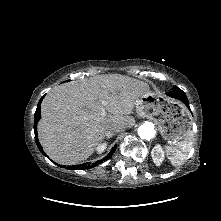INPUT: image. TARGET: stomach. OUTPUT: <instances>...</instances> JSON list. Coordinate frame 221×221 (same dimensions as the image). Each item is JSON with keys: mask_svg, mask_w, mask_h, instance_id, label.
Instances as JSON below:
<instances>
[{"mask_svg": "<svg viewBox=\"0 0 221 221\" xmlns=\"http://www.w3.org/2000/svg\"><path fill=\"white\" fill-rule=\"evenodd\" d=\"M136 111L139 116L154 120L168 141L184 139L192 126L190 113L182 104L151 90L137 99Z\"/></svg>", "mask_w": 221, "mask_h": 221, "instance_id": "stomach-1", "label": "stomach"}]
</instances>
